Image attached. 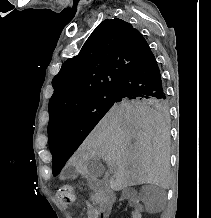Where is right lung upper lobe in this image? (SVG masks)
I'll return each instance as SVG.
<instances>
[{"label":"right lung upper lobe","mask_w":211,"mask_h":218,"mask_svg":"<svg viewBox=\"0 0 211 218\" xmlns=\"http://www.w3.org/2000/svg\"><path fill=\"white\" fill-rule=\"evenodd\" d=\"M151 53L142 34L115 18L104 20L89 36L79 54L64 62L53 78L49 126L58 117L108 91Z\"/></svg>","instance_id":"1"}]
</instances>
